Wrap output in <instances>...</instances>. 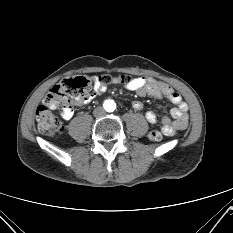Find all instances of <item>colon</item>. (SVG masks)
I'll use <instances>...</instances> for the list:
<instances>
[{"instance_id":"1","label":"colon","mask_w":233,"mask_h":233,"mask_svg":"<svg viewBox=\"0 0 233 233\" xmlns=\"http://www.w3.org/2000/svg\"><path fill=\"white\" fill-rule=\"evenodd\" d=\"M98 79L103 83L116 81L126 84L132 80L129 75H102ZM92 80L85 76L70 77L63 82L55 85L45 97L43 104L36 111V122L39 133L52 136L62 130L60 119L54 114L53 110L87 100L92 95ZM151 141L159 142L163 135L158 130L148 133Z\"/></svg>"}]
</instances>
